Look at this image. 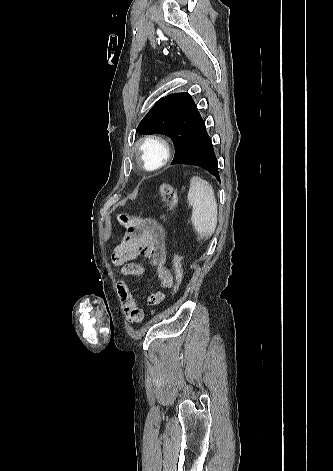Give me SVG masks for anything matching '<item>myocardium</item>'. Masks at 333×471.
<instances>
[{
  "mask_svg": "<svg viewBox=\"0 0 333 471\" xmlns=\"http://www.w3.org/2000/svg\"><path fill=\"white\" fill-rule=\"evenodd\" d=\"M151 147L156 148L160 153L158 160L153 165H149L146 160L147 150ZM137 152L139 164L143 169L149 172L161 169L168 162L170 157L168 142L157 135H150L141 139L137 144Z\"/></svg>",
  "mask_w": 333,
  "mask_h": 471,
  "instance_id": "myocardium-1",
  "label": "myocardium"
}]
</instances>
